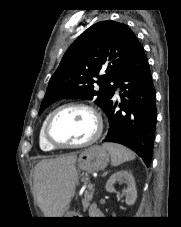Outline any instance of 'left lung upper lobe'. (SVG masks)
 I'll use <instances>...</instances> for the list:
<instances>
[{
    "mask_svg": "<svg viewBox=\"0 0 181 227\" xmlns=\"http://www.w3.org/2000/svg\"><path fill=\"white\" fill-rule=\"evenodd\" d=\"M139 45L125 24L102 21L89 27L64 54L49 81L39 114L54 101L68 97H97L95 103L106 111L117 81ZM94 83L99 90L94 89Z\"/></svg>",
    "mask_w": 181,
    "mask_h": 227,
    "instance_id": "left-lung-upper-lobe-1",
    "label": "left lung upper lobe"
}]
</instances>
